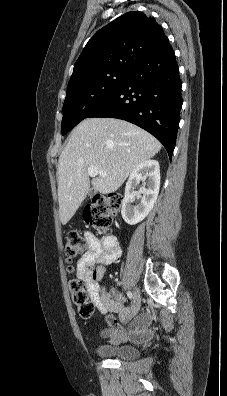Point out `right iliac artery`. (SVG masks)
<instances>
[{
  "label": "right iliac artery",
  "instance_id": "right-iliac-artery-1",
  "mask_svg": "<svg viewBox=\"0 0 227 396\" xmlns=\"http://www.w3.org/2000/svg\"><path fill=\"white\" fill-rule=\"evenodd\" d=\"M127 296H128L130 299H132V298H133L132 292H131V291H128V292H127Z\"/></svg>",
  "mask_w": 227,
  "mask_h": 396
}]
</instances>
